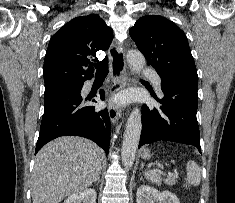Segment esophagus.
<instances>
[{"label": "esophagus", "mask_w": 235, "mask_h": 203, "mask_svg": "<svg viewBox=\"0 0 235 203\" xmlns=\"http://www.w3.org/2000/svg\"><path fill=\"white\" fill-rule=\"evenodd\" d=\"M119 43L114 40L109 49V56L111 59V87H110V97L108 103V113L112 123H115L117 119L121 117V109L115 106L113 102L114 94L122 89L127 82L126 76V63L124 52L119 49Z\"/></svg>", "instance_id": "obj_1"}]
</instances>
